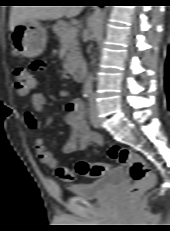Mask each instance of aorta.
I'll use <instances>...</instances> for the list:
<instances>
[{"label": "aorta", "mask_w": 170, "mask_h": 231, "mask_svg": "<svg viewBox=\"0 0 170 231\" xmlns=\"http://www.w3.org/2000/svg\"><path fill=\"white\" fill-rule=\"evenodd\" d=\"M86 87H87L88 89H91V87H92V77H88V78L86 79Z\"/></svg>", "instance_id": "aorta-1"}]
</instances>
